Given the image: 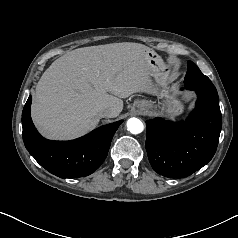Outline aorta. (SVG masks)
<instances>
[{"label": "aorta", "instance_id": "762f6f07", "mask_svg": "<svg viewBox=\"0 0 238 238\" xmlns=\"http://www.w3.org/2000/svg\"><path fill=\"white\" fill-rule=\"evenodd\" d=\"M127 130L132 134H139L144 130V125L138 118H130L127 121Z\"/></svg>", "mask_w": 238, "mask_h": 238}]
</instances>
